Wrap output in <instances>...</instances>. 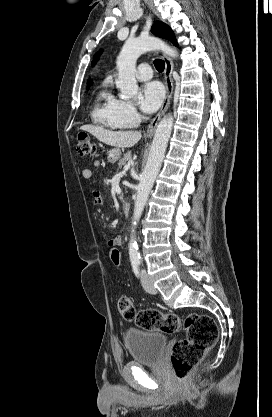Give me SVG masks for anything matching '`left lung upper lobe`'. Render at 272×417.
<instances>
[{"label": "left lung upper lobe", "instance_id": "obj_1", "mask_svg": "<svg viewBox=\"0 0 272 417\" xmlns=\"http://www.w3.org/2000/svg\"><path fill=\"white\" fill-rule=\"evenodd\" d=\"M151 32L161 38L168 39L171 42H173L175 45H177L173 31L165 23L159 22V21L155 22L154 26L151 29ZM99 55H100V52H98L94 56V61L92 62L93 65L95 64L96 60L99 58Z\"/></svg>", "mask_w": 272, "mask_h": 417}]
</instances>
